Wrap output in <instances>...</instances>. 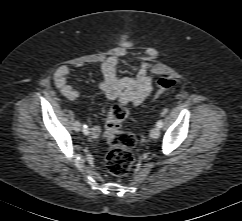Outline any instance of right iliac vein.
I'll list each match as a JSON object with an SVG mask.
<instances>
[{"label":"right iliac vein","instance_id":"1","mask_svg":"<svg viewBox=\"0 0 242 221\" xmlns=\"http://www.w3.org/2000/svg\"><path fill=\"white\" fill-rule=\"evenodd\" d=\"M80 128H81L80 123H79L78 121H76V122L74 123V130H75V131H79Z\"/></svg>","mask_w":242,"mask_h":221}]
</instances>
